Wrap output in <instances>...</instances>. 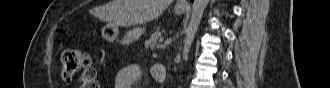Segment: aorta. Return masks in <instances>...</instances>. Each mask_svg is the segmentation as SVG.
Returning a JSON list of instances; mask_svg holds the SVG:
<instances>
[{"label": "aorta", "instance_id": "762f6f07", "mask_svg": "<svg viewBox=\"0 0 330 88\" xmlns=\"http://www.w3.org/2000/svg\"><path fill=\"white\" fill-rule=\"evenodd\" d=\"M209 0H194L192 5L191 16L188 27L185 31L184 45H183V59H188L191 44L195 38L196 32L199 28L203 13L207 7Z\"/></svg>", "mask_w": 330, "mask_h": 88}]
</instances>
